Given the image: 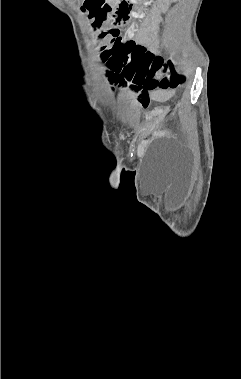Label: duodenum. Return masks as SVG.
<instances>
[{"instance_id":"410a0bca","label":"duodenum","mask_w":241,"mask_h":379,"mask_svg":"<svg viewBox=\"0 0 241 379\" xmlns=\"http://www.w3.org/2000/svg\"><path fill=\"white\" fill-rule=\"evenodd\" d=\"M107 4L111 10L110 17L118 23L125 22L129 18L130 0H108ZM113 8V11H112Z\"/></svg>"}]
</instances>
